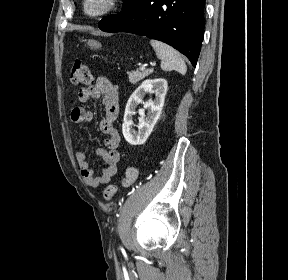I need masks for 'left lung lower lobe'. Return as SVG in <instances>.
<instances>
[{
    "label": "left lung lower lobe",
    "instance_id": "obj_1",
    "mask_svg": "<svg viewBox=\"0 0 288 280\" xmlns=\"http://www.w3.org/2000/svg\"><path fill=\"white\" fill-rule=\"evenodd\" d=\"M205 0H134L103 18L106 32H130L160 40L184 54L195 67L204 34Z\"/></svg>",
    "mask_w": 288,
    "mask_h": 280
}]
</instances>
